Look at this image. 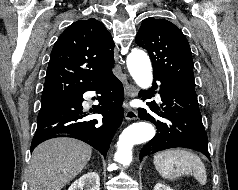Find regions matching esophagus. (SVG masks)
Returning <instances> with one entry per match:
<instances>
[{
  "mask_svg": "<svg viewBox=\"0 0 238 190\" xmlns=\"http://www.w3.org/2000/svg\"><path fill=\"white\" fill-rule=\"evenodd\" d=\"M138 88L135 87L132 84H127L125 86V97L127 101H130L132 98L136 97L138 95ZM125 119L126 120H135L138 117L137 112L132 109V108H128L125 112Z\"/></svg>",
  "mask_w": 238,
  "mask_h": 190,
  "instance_id": "1",
  "label": "esophagus"
}]
</instances>
